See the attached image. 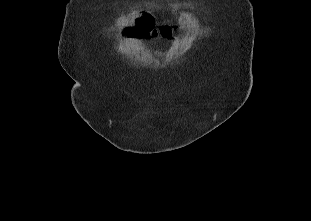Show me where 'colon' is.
<instances>
[{"instance_id":"colon-1","label":"colon","mask_w":311,"mask_h":221,"mask_svg":"<svg viewBox=\"0 0 311 221\" xmlns=\"http://www.w3.org/2000/svg\"><path fill=\"white\" fill-rule=\"evenodd\" d=\"M144 24L138 26V31L141 32L140 37L141 39H155V22L152 14L148 11L143 13ZM132 30H135V27H132ZM126 39H135L136 33L135 32H126L125 33Z\"/></svg>"}]
</instances>
